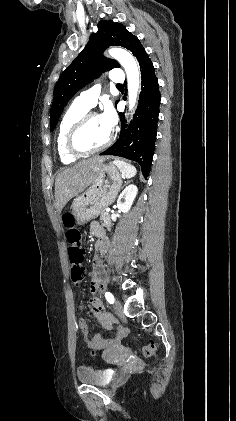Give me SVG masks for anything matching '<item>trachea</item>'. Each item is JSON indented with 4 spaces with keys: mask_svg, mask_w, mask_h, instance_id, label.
I'll return each mask as SVG.
<instances>
[{
    "mask_svg": "<svg viewBox=\"0 0 236 421\" xmlns=\"http://www.w3.org/2000/svg\"><path fill=\"white\" fill-rule=\"evenodd\" d=\"M117 87H122V84L121 83H117V85H116Z\"/></svg>",
    "mask_w": 236,
    "mask_h": 421,
    "instance_id": "3493384b",
    "label": "trachea"
}]
</instances>
